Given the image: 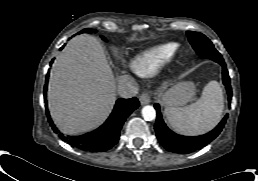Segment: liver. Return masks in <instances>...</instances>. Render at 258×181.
<instances>
[{
	"instance_id": "liver-1",
	"label": "liver",
	"mask_w": 258,
	"mask_h": 181,
	"mask_svg": "<svg viewBox=\"0 0 258 181\" xmlns=\"http://www.w3.org/2000/svg\"><path fill=\"white\" fill-rule=\"evenodd\" d=\"M47 99L53 121L65 134L87 132L107 118L116 100V82L93 36L72 38L56 57Z\"/></svg>"
}]
</instances>
